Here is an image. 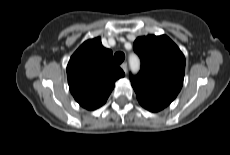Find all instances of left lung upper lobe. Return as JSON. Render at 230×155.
<instances>
[{
  "instance_id": "obj_1",
  "label": "left lung upper lobe",
  "mask_w": 230,
  "mask_h": 155,
  "mask_svg": "<svg viewBox=\"0 0 230 155\" xmlns=\"http://www.w3.org/2000/svg\"><path fill=\"white\" fill-rule=\"evenodd\" d=\"M133 47L141 59L138 75L130 74L138 101L167 107L183 85V53L166 35L138 37Z\"/></svg>"
}]
</instances>
